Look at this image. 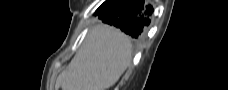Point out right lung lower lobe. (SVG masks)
Masks as SVG:
<instances>
[{"label": "right lung lower lobe", "instance_id": "1", "mask_svg": "<svg viewBox=\"0 0 228 90\" xmlns=\"http://www.w3.org/2000/svg\"><path fill=\"white\" fill-rule=\"evenodd\" d=\"M151 6L143 0H108L96 11L99 19L130 35L136 41L143 38L144 29L150 24Z\"/></svg>", "mask_w": 228, "mask_h": 90}]
</instances>
